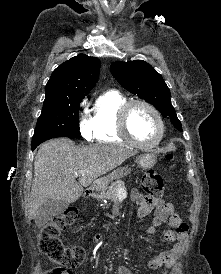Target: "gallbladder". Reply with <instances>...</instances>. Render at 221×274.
<instances>
[{"label": "gallbladder", "mask_w": 221, "mask_h": 274, "mask_svg": "<svg viewBox=\"0 0 221 274\" xmlns=\"http://www.w3.org/2000/svg\"><path fill=\"white\" fill-rule=\"evenodd\" d=\"M63 200H47L40 208L35 217L37 224L42 225L48 222L53 216L62 214L68 207Z\"/></svg>", "instance_id": "obj_1"}]
</instances>
